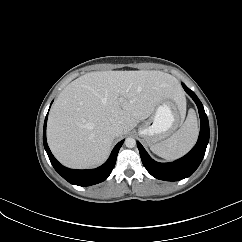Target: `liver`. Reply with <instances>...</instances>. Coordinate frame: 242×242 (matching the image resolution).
I'll return each mask as SVG.
<instances>
[{
	"mask_svg": "<svg viewBox=\"0 0 242 242\" xmlns=\"http://www.w3.org/2000/svg\"><path fill=\"white\" fill-rule=\"evenodd\" d=\"M184 109L178 80L161 71L90 72L68 84L52 106L47 141L54 156L70 168L101 165L113 141L147 119L164 100ZM112 125L122 134L114 137Z\"/></svg>",
	"mask_w": 242,
	"mask_h": 242,
	"instance_id": "obj_1",
	"label": "liver"
}]
</instances>
